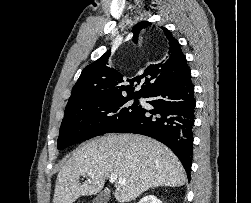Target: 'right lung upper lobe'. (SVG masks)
I'll use <instances>...</instances> for the list:
<instances>
[{
  "label": "right lung upper lobe",
  "instance_id": "1",
  "mask_svg": "<svg viewBox=\"0 0 251 203\" xmlns=\"http://www.w3.org/2000/svg\"><path fill=\"white\" fill-rule=\"evenodd\" d=\"M149 24L141 22L132 29L133 40L138 41V33ZM168 40L167 56L158 64L149 65L140 75L127 79L130 85H125V78L115 69L106 66L110 56V50L98 60L85 67L73 87L72 94L67 105L101 99L112 98H140L154 87L177 77L187 67L185 55L180 44L172 36L171 32L161 27ZM142 82L141 89L134 92L135 87Z\"/></svg>",
  "mask_w": 251,
  "mask_h": 203
}]
</instances>
